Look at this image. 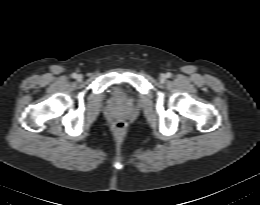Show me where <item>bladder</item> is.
I'll list each match as a JSON object with an SVG mask.
<instances>
[{
    "label": "bladder",
    "instance_id": "31cf9c89",
    "mask_svg": "<svg viewBox=\"0 0 260 205\" xmlns=\"http://www.w3.org/2000/svg\"><path fill=\"white\" fill-rule=\"evenodd\" d=\"M109 98L115 104L128 103L132 101V92L121 86H115L110 89Z\"/></svg>",
    "mask_w": 260,
    "mask_h": 205
}]
</instances>
